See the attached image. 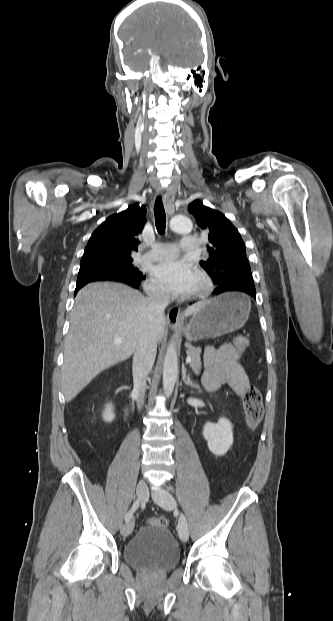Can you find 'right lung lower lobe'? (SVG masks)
Wrapping results in <instances>:
<instances>
[{
	"mask_svg": "<svg viewBox=\"0 0 333 621\" xmlns=\"http://www.w3.org/2000/svg\"><path fill=\"white\" fill-rule=\"evenodd\" d=\"M144 278H145L144 276H142V277H140L138 279H135V278H126V277H121V276L105 275V274L80 275L77 278V284H76V289H75L74 295H76L78 290L80 288H82L84 285H86L87 283H90V282H94V281H117V282L125 283V284H127V285L137 289L139 287V284L141 283V281Z\"/></svg>",
	"mask_w": 333,
	"mask_h": 621,
	"instance_id": "98d812e1",
	"label": "right lung lower lobe"
}]
</instances>
